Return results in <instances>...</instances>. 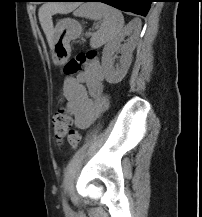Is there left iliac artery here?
Wrapping results in <instances>:
<instances>
[{
	"instance_id": "1",
	"label": "left iliac artery",
	"mask_w": 202,
	"mask_h": 217,
	"mask_svg": "<svg viewBox=\"0 0 202 217\" xmlns=\"http://www.w3.org/2000/svg\"><path fill=\"white\" fill-rule=\"evenodd\" d=\"M63 207H64L65 210L69 209L68 203H67L65 198L63 199Z\"/></svg>"
}]
</instances>
